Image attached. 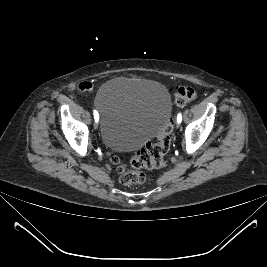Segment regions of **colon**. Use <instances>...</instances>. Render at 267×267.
<instances>
[{
	"mask_svg": "<svg viewBox=\"0 0 267 267\" xmlns=\"http://www.w3.org/2000/svg\"><path fill=\"white\" fill-rule=\"evenodd\" d=\"M174 96L175 103L178 106H184L196 98V92L189 86H181L176 89ZM171 131L172 123L169 119L156 139L132 156L131 168H128L119 159L115 160L122 184L142 183L146 179L143 169H159L165 165V157L171 146Z\"/></svg>",
	"mask_w": 267,
	"mask_h": 267,
	"instance_id": "obj_1",
	"label": "colon"
}]
</instances>
